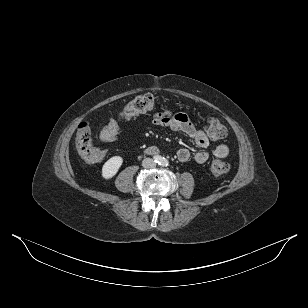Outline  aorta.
<instances>
[{
	"mask_svg": "<svg viewBox=\"0 0 308 308\" xmlns=\"http://www.w3.org/2000/svg\"><path fill=\"white\" fill-rule=\"evenodd\" d=\"M159 165H162V166H167L168 165V160L164 157L160 158L159 159Z\"/></svg>",
	"mask_w": 308,
	"mask_h": 308,
	"instance_id": "1",
	"label": "aorta"
}]
</instances>
